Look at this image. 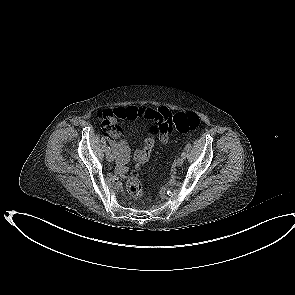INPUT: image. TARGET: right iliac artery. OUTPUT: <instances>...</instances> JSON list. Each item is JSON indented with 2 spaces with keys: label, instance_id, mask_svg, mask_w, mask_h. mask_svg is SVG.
Segmentation results:
<instances>
[{
  "label": "right iliac artery",
  "instance_id": "82829eb1",
  "mask_svg": "<svg viewBox=\"0 0 295 295\" xmlns=\"http://www.w3.org/2000/svg\"><path fill=\"white\" fill-rule=\"evenodd\" d=\"M109 152H111V148L108 146L106 149V153H109Z\"/></svg>",
  "mask_w": 295,
  "mask_h": 295
}]
</instances>
